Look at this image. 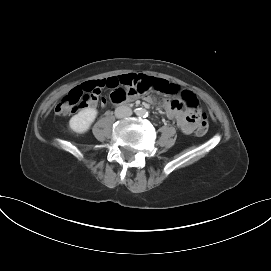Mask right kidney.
I'll use <instances>...</instances> for the list:
<instances>
[{
    "instance_id": "obj_1",
    "label": "right kidney",
    "mask_w": 271,
    "mask_h": 271,
    "mask_svg": "<svg viewBox=\"0 0 271 271\" xmlns=\"http://www.w3.org/2000/svg\"><path fill=\"white\" fill-rule=\"evenodd\" d=\"M97 117V110L86 108L74 115L69 121V127L76 133H85Z\"/></svg>"
}]
</instances>
